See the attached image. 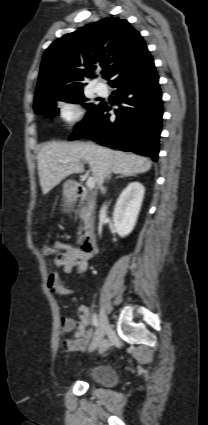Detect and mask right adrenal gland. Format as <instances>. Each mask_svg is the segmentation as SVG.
Wrapping results in <instances>:
<instances>
[{"label":"right adrenal gland","mask_w":208,"mask_h":425,"mask_svg":"<svg viewBox=\"0 0 208 425\" xmlns=\"http://www.w3.org/2000/svg\"><path fill=\"white\" fill-rule=\"evenodd\" d=\"M125 177H127V175L121 174V175L117 176L116 178H125Z\"/></svg>","instance_id":"obj_1"}]
</instances>
